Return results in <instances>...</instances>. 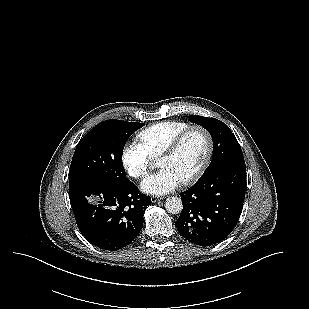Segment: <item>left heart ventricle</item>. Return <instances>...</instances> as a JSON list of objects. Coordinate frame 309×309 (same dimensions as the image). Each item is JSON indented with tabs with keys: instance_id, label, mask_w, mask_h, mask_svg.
<instances>
[{
	"instance_id": "b2bd125f",
	"label": "left heart ventricle",
	"mask_w": 309,
	"mask_h": 309,
	"mask_svg": "<svg viewBox=\"0 0 309 309\" xmlns=\"http://www.w3.org/2000/svg\"><path fill=\"white\" fill-rule=\"evenodd\" d=\"M206 151L205 136L200 131H194L187 136L176 154L160 158L159 167L171 169L183 181L200 167Z\"/></svg>"
}]
</instances>
